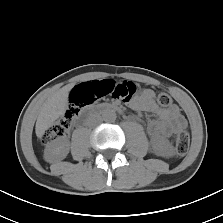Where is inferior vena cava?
Masks as SVG:
<instances>
[{"label":"inferior vena cava","instance_id":"602c4592","mask_svg":"<svg viewBox=\"0 0 223 223\" xmlns=\"http://www.w3.org/2000/svg\"><path fill=\"white\" fill-rule=\"evenodd\" d=\"M102 121L99 115H92L88 120V126H94Z\"/></svg>","mask_w":223,"mask_h":223}]
</instances>
